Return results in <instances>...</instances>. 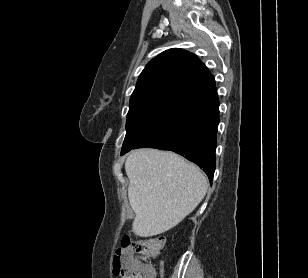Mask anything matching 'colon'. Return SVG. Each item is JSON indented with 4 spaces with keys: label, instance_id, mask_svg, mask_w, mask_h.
Listing matches in <instances>:
<instances>
[{
    "label": "colon",
    "instance_id": "5ec220e1",
    "mask_svg": "<svg viewBox=\"0 0 308 278\" xmlns=\"http://www.w3.org/2000/svg\"><path fill=\"white\" fill-rule=\"evenodd\" d=\"M163 245V237L133 240L125 236L113 257V273L121 278H154L149 261L160 253Z\"/></svg>",
    "mask_w": 308,
    "mask_h": 278
}]
</instances>
